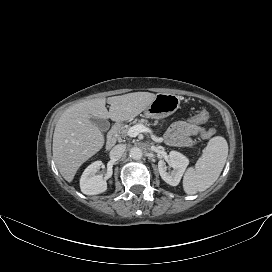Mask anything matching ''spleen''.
<instances>
[{
    "label": "spleen",
    "mask_w": 272,
    "mask_h": 272,
    "mask_svg": "<svg viewBox=\"0 0 272 272\" xmlns=\"http://www.w3.org/2000/svg\"><path fill=\"white\" fill-rule=\"evenodd\" d=\"M228 156V144L224 137L211 138L198 159L195 168H189L183 178V188L188 195L205 191L219 177Z\"/></svg>",
    "instance_id": "3e777b00"
}]
</instances>
